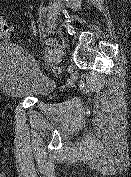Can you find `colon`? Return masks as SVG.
I'll use <instances>...</instances> for the list:
<instances>
[{"instance_id": "obj_1", "label": "colon", "mask_w": 131, "mask_h": 177, "mask_svg": "<svg viewBox=\"0 0 131 177\" xmlns=\"http://www.w3.org/2000/svg\"><path fill=\"white\" fill-rule=\"evenodd\" d=\"M12 34V29L7 18L0 15V40L9 39Z\"/></svg>"}]
</instances>
